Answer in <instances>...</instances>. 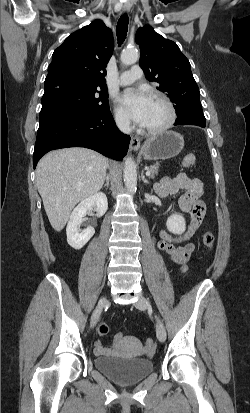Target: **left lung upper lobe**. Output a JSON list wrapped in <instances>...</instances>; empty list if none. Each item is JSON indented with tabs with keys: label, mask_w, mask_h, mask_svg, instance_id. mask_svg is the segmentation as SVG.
Masks as SVG:
<instances>
[{
	"label": "left lung upper lobe",
	"mask_w": 250,
	"mask_h": 413,
	"mask_svg": "<svg viewBox=\"0 0 250 413\" xmlns=\"http://www.w3.org/2000/svg\"><path fill=\"white\" fill-rule=\"evenodd\" d=\"M135 40L141 51L139 65L146 78L159 84L158 89L168 94L175 109L200 102L190 63L175 42L163 38L150 26L139 28Z\"/></svg>",
	"instance_id": "obj_1"
}]
</instances>
